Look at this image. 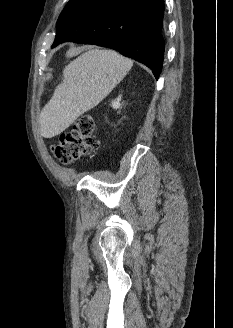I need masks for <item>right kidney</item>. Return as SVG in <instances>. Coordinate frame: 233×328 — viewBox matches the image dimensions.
<instances>
[{
    "label": "right kidney",
    "instance_id": "1",
    "mask_svg": "<svg viewBox=\"0 0 233 328\" xmlns=\"http://www.w3.org/2000/svg\"><path fill=\"white\" fill-rule=\"evenodd\" d=\"M120 101H121V96H119L117 99L112 101V107L114 109H119L121 107Z\"/></svg>",
    "mask_w": 233,
    "mask_h": 328
}]
</instances>
